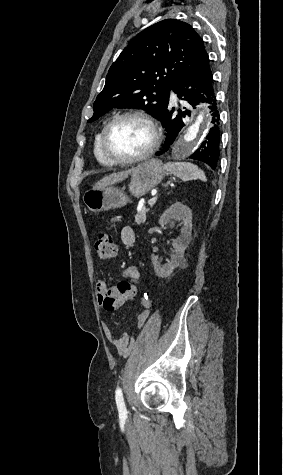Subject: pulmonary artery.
<instances>
[{
	"label": "pulmonary artery",
	"mask_w": 283,
	"mask_h": 475,
	"mask_svg": "<svg viewBox=\"0 0 283 475\" xmlns=\"http://www.w3.org/2000/svg\"><path fill=\"white\" fill-rule=\"evenodd\" d=\"M169 92L172 94L174 91L171 89ZM171 100L172 101L176 100V96L174 94L171 95Z\"/></svg>",
	"instance_id": "obj_1"
}]
</instances>
